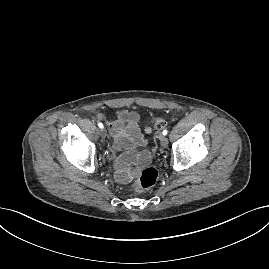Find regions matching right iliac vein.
Wrapping results in <instances>:
<instances>
[{"label":"right iliac vein","instance_id":"63e3f726","mask_svg":"<svg viewBox=\"0 0 269 269\" xmlns=\"http://www.w3.org/2000/svg\"><path fill=\"white\" fill-rule=\"evenodd\" d=\"M100 135H101V137L105 138L106 135H107L106 130L102 128V129L100 130Z\"/></svg>","mask_w":269,"mask_h":269}]
</instances>
